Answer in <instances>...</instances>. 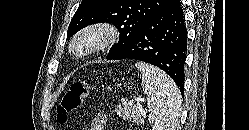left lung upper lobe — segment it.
Listing matches in <instances>:
<instances>
[{"label": "left lung upper lobe", "mask_w": 249, "mask_h": 130, "mask_svg": "<svg viewBox=\"0 0 249 130\" xmlns=\"http://www.w3.org/2000/svg\"><path fill=\"white\" fill-rule=\"evenodd\" d=\"M173 0H83L74 14L67 31L71 37L82 28L109 22L118 28L119 42L113 45L107 59L130 43L141 27L164 11Z\"/></svg>", "instance_id": "obj_1"}]
</instances>
